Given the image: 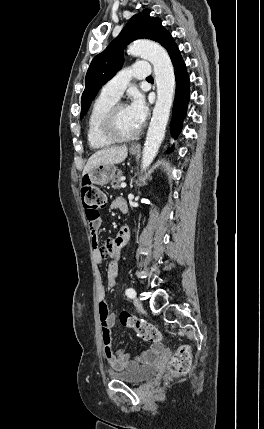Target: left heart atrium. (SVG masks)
<instances>
[{"label": "left heart atrium", "mask_w": 264, "mask_h": 429, "mask_svg": "<svg viewBox=\"0 0 264 429\" xmlns=\"http://www.w3.org/2000/svg\"><path fill=\"white\" fill-rule=\"evenodd\" d=\"M134 121L141 126L146 119L148 108L144 97L140 94H134L131 103L127 107Z\"/></svg>", "instance_id": "39dd6f15"}]
</instances>
